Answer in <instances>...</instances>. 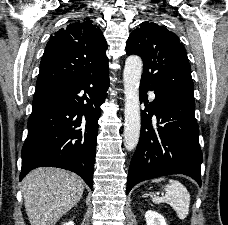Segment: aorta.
<instances>
[{"label":"aorta","instance_id":"1","mask_svg":"<svg viewBox=\"0 0 228 225\" xmlns=\"http://www.w3.org/2000/svg\"><path fill=\"white\" fill-rule=\"evenodd\" d=\"M142 66L140 56H135V54L128 56L125 60L123 80L125 92L124 147L126 151L136 149L139 143L141 129L139 82Z\"/></svg>","mask_w":228,"mask_h":225}]
</instances>
